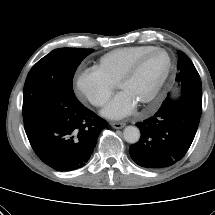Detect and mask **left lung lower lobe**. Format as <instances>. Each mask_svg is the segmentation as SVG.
<instances>
[{"label": "left lung lower lobe", "instance_id": "left-lung-lower-lobe-1", "mask_svg": "<svg viewBox=\"0 0 215 215\" xmlns=\"http://www.w3.org/2000/svg\"><path fill=\"white\" fill-rule=\"evenodd\" d=\"M202 102L182 96L166 98L152 117L138 122L141 138L130 146L133 161L149 169L173 165L188 151L198 128Z\"/></svg>", "mask_w": 215, "mask_h": 215}]
</instances>
